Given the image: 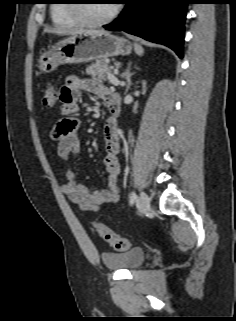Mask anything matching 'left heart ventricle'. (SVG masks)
Returning <instances> with one entry per match:
<instances>
[{
	"label": "left heart ventricle",
	"instance_id": "obj_1",
	"mask_svg": "<svg viewBox=\"0 0 236 321\" xmlns=\"http://www.w3.org/2000/svg\"><path fill=\"white\" fill-rule=\"evenodd\" d=\"M114 7V3L110 0H89L86 3L85 13L94 20H100L107 17Z\"/></svg>",
	"mask_w": 236,
	"mask_h": 321
}]
</instances>
